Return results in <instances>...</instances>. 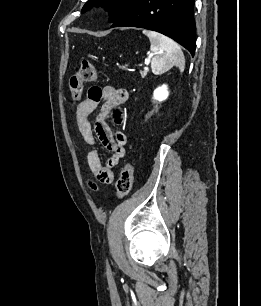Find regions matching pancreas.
<instances>
[{
  "mask_svg": "<svg viewBox=\"0 0 261 306\" xmlns=\"http://www.w3.org/2000/svg\"><path fill=\"white\" fill-rule=\"evenodd\" d=\"M147 75L146 71L141 72V76L144 78Z\"/></svg>",
  "mask_w": 261,
  "mask_h": 306,
  "instance_id": "obj_1",
  "label": "pancreas"
}]
</instances>
